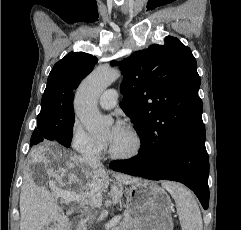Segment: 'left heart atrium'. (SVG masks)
I'll use <instances>...</instances> for the list:
<instances>
[{"label": "left heart atrium", "mask_w": 241, "mask_h": 230, "mask_svg": "<svg viewBox=\"0 0 241 230\" xmlns=\"http://www.w3.org/2000/svg\"><path fill=\"white\" fill-rule=\"evenodd\" d=\"M125 125L122 121H118L111 130L109 144L114 143L125 131Z\"/></svg>", "instance_id": "obj_1"}]
</instances>
